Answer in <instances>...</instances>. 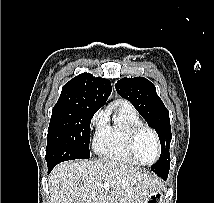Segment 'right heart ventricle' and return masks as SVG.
<instances>
[{
	"mask_svg": "<svg viewBox=\"0 0 214 203\" xmlns=\"http://www.w3.org/2000/svg\"><path fill=\"white\" fill-rule=\"evenodd\" d=\"M113 108V116L106 114L103 126L96 133L94 150L99 156L111 161L140 165L129 152L128 139L131 131L143 125V122L127 101L119 100Z\"/></svg>",
	"mask_w": 214,
	"mask_h": 203,
	"instance_id": "right-heart-ventricle-1",
	"label": "right heart ventricle"
}]
</instances>
